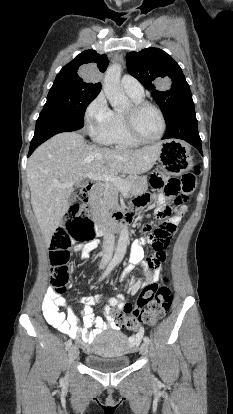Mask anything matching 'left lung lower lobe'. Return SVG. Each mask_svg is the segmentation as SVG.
Here are the masks:
<instances>
[{
  "instance_id": "1",
  "label": "left lung lower lobe",
  "mask_w": 233,
  "mask_h": 414,
  "mask_svg": "<svg viewBox=\"0 0 233 414\" xmlns=\"http://www.w3.org/2000/svg\"><path fill=\"white\" fill-rule=\"evenodd\" d=\"M166 133L162 139H181L199 150L202 154L201 139L197 128L194 103L183 105L166 123Z\"/></svg>"
}]
</instances>
